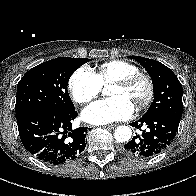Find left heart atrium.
Listing matches in <instances>:
<instances>
[{
  "mask_svg": "<svg viewBox=\"0 0 196 196\" xmlns=\"http://www.w3.org/2000/svg\"><path fill=\"white\" fill-rule=\"evenodd\" d=\"M134 113V106L124 97H110L97 101L82 112L83 119L91 124L104 125L125 120Z\"/></svg>",
  "mask_w": 196,
  "mask_h": 196,
  "instance_id": "left-heart-atrium-1",
  "label": "left heart atrium"
}]
</instances>
